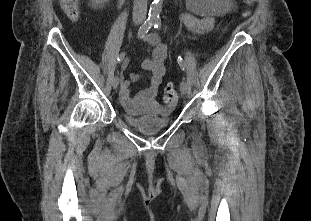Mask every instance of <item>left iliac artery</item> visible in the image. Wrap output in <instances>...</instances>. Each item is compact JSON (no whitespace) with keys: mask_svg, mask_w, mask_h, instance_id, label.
Segmentation results:
<instances>
[{"mask_svg":"<svg viewBox=\"0 0 311 221\" xmlns=\"http://www.w3.org/2000/svg\"><path fill=\"white\" fill-rule=\"evenodd\" d=\"M153 26L156 29H160L161 28V19H159V18L155 19ZM178 64L181 67V69L183 71H185V63H184L183 59L180 56L178 57Z\"/></svg>","mask_w":311,"mask_h":221,"instance_id":"obj_1","label":"left iliac artery"}]
</instances>
